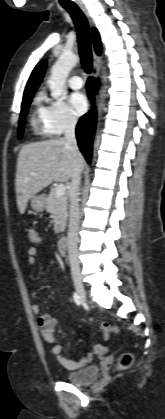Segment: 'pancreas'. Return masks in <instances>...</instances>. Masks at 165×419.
<instances>
[{"label":"pancreas","instance_id":"obj_1","mask_svg":"<svg viewBox=\"0 0 165 419\" xmlns=\"http://www.w3.org/2000/svg\"><path fill=\"white\" fill-rule=\"evenodd\" d=\"M68 196H57L55 188H53L46 200V210L51 214L54 222V232H63L67 221Z\"/></svg>","mask_w":165,"mask_h":419}]
</instances>
